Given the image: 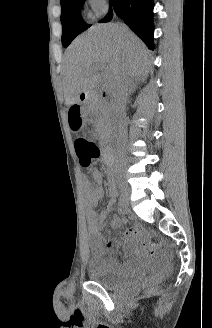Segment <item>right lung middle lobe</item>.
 Instances as JSON below:
<instances>
[{"instance_id":"dd1d6c3e","label":"right lung middle lobe","mask_w":212,"mask_h":328,"mask_svg":"<svg viewBox=\"0 0 212 328\" xmlns=\"http://www.w3.org/2000/svg\"><path fill=\"white\" fill-rule=\"evenodd\" d=\"M84 2L85 0H61L62 45L64 47L90 27L81 23L80 7Z\"/></svg>"}]
</instances>
